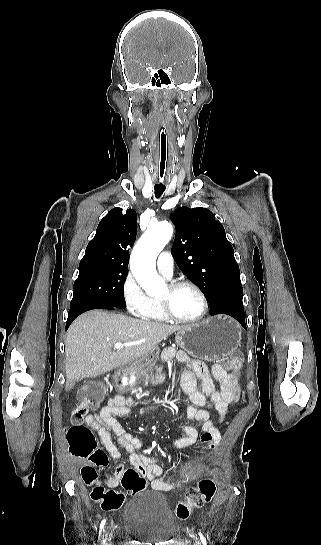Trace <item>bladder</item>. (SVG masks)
<instances>
[{
  "instance_id": "1",
  "label": "bladder",
  "mask_w": 321,
  "mask_h": 545,
  "mask_svg": "<svg viewBox=\"0 0 321 545\" xmlns=\"http://www.w3.org/2000/svg\"><path fill=\"white\" fill-rule=\"evenodd\" d=\"M123 526L137 540L161 543L176 533V521L166 496L157 491L137 493L123 512Z\"/></svg>"
}]
</instances>
